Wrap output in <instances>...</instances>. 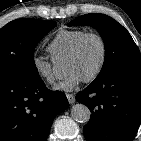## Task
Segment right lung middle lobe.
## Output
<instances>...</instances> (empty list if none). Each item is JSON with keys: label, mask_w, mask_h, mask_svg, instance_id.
<instances>
[{"label": "right lung middle lobe", "mask_w": 141, "mask_h": 141, "mask_svg": "<svg viewBox=\"0 0 141 141\" xmlns=\"http://www.w3.org/2000/svg\"><path fill=\"white\" fill-rule=\"evenodd\" d=\"M56 26L54 21L17 19L0 29V76H38L33 59L36 44Z\"/></svg>", "instance_id": "obj_1"}]
</instances>
